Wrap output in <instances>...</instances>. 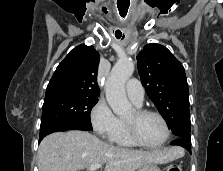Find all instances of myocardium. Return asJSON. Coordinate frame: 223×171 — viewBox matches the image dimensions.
<instances>
[{"mask_svg": "<svg viewBox=\"0 0 223 171\" xmlns=\"http://www.w3.org/2000/svg\"><path fill=\"white\" fill-rule=\"evenodd\" d=\"M134 112H135L137 117H141V116H144V115H154V116L158 117L161 120V122L163 123V126L165 128V136L159 144H156V145L145 144L138 137L134 126L132 124L126 122V121H123L125 131L127 133V136L129 137V139L135 145L146 148V149H157V148L162 147L169 140L170 134H171L170 127H169V124H168L166 118L160 112H158L156 110H153V109H148V108L138 107V108L134 109Z\"/></svg>", "mask_w": 223, "mask_h": 171, "instance_id": "1", "label": "myocardium"}]
</instances>
